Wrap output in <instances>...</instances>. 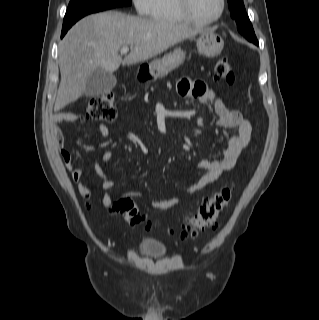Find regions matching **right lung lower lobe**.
Wrapping results in <instances>:
<instances>
[{"instance_id":"right-lung-lower-lobe-1","label":"right lung lower lobe","mask_w":319,"mask_h":320,"mask_svg":"<svg viewBox=\"0 0 319 320\" xmlns=\"http://www.w3.org/2000/svg\"><path fill=\"white\" fill-rule=\"evenodd\" d=\"M68 29H69V28H67V29H63V28H62L61 38L66 34V32L68 31Z\"/></svg>"}]
</instances>
